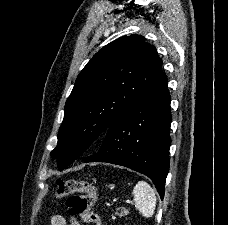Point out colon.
I'll use <instances>...</instances> for the list:
<instances>
[{"label": "colon", "mask_w": 228, "mask_h": 225, "mask_svg": "<svg viewBox=\"0 0 228 225\" xmlns=\"http://www.w3.org/2000/svg\"><path fill=\"white\" fill-rule=\"evenodd\" d=\"M57 198H67L69 214H76L92 225H103L99 214L94 210L97 190L93 183L85 180H64L56 182Z\"/></svg>", "instance_id": "colon-1"}]
</instances>
